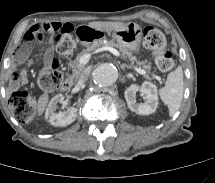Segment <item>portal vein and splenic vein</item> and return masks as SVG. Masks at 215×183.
Returning <instances> with one entry per match:
<instances>
[{"label": "portal vein and splenic vein", "instance_id": "portal-vein-and-splenic-vein-1", "mask_svg": "<svg viewBox=\"0 0 215 183\" xmlns=\"http://www.w3.org/2000/svg\"><path fill=\"white\" fill-rule=\"evenodd\" d=\"M110 51L112 54H114L115 56L117 57H121V54L119 51H117L116 49L112 48V47H102V48H99L97 50L94 51V53H97V52H100V51ZM90 56L91 54H85L83 55L81 58H80V63L81 64H87L89 62V59H90ZM130 67H132L133 70H135L136 72H138L139 74H142V75H145L147 73L146 70L144 69H141V68H138L137 66L133 65V63H130ZM153 77L155 79H157L160 83H162L161 81V78L157 75H153Z\"/></svg>", "mask_w": 215, "mask_h": 183}]
</instances>
